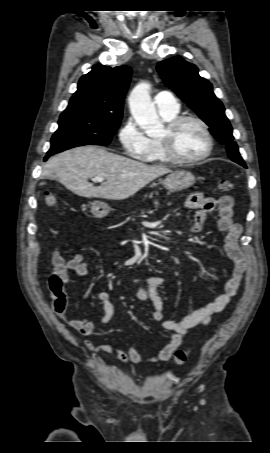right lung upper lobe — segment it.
Here are the masks:
<instances>
[{
	"instance_id": "cb5924a9",
	"label": "right lung upper lobe",
	"mask_w": 270,
	"mask_h": 453,
	"mask_svg": "<svg viewBox=\"0 0 270 453\" xmlns=\"http://www.w3.org/2000/svg\"><path fill=\"white\" fill-rule=\"evenodd\" d=\"M132 70L128 66L115 68L95 65L82 76L78 90L71 97L68 107L60 117L95 113L112 118H122L123 98L127 92Z\"/></svg>"
}]
</instances>
